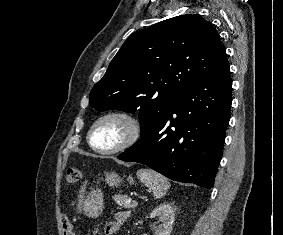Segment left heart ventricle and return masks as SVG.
<instances>
[{
  "instance_id": "b2bd125f",
  "label": "left heart ventricle",
  "mask_w": 283,
  "mask_h": 235,
  "mask_svg": "<svg viewBox=\"0 0 283 235\" xmlns=\"http://www.w3.org/2000/svg\"><path fill=\"white\" fill-rule=\"evenodd\" d=\"M127 131V125L122 120L108 119L97 127L92 142L102 149L113 148L125 139Z\"/></svg>"
}]
</instances>
